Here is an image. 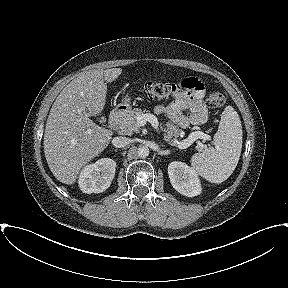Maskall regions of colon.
Masks as SVG:
<instances>
[{"instance_id": "5ec220e1", "label": "colon", "mask_w": 288, "mask_h": 288, "mask_svg": "<svg viewBox=\"0 0 288 288\" xmlns=\"http://www.w3.org/2000/svg\"><path fill=\"white\" fill-rule=\"evenodd\" d=\"M186 88L183 82L157 83L149 82L144 86V93L150 99H163L176 95ZM225 102L224 95L219 91H211L207 98V103L212 108L221 107Z\"/></svg>"}]
</instances>
